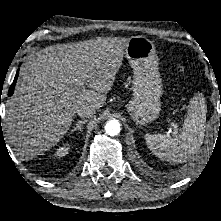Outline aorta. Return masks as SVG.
<instances>
[{
    "mask_svg": "<svg viewBox=\"0 0 221 221\" xmlns=\"http://www.w3.org/2000/svg\"><path fill=\"white\" fill-rule=\"evenodd\" d=\"M121 126L118 120H109L105 125V132L110 136H116L120 133Z\"/></svg>",
    "mask_w": 221,
    "mask_h": 221,
    "instance_id": "1",
    "label": "aorta"
}]
</instances>
